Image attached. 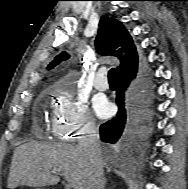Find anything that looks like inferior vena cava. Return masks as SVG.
Returning <instances> with one entry per match:
<instances>
[{"mask_svg":"<svg viewBox=\"0 0 188 189\" xmlns=\"http://www.w3.org/2000/svg\"><path fill=\"white\" fill-rule=\"evenodd\" d=\"M78 149L88 158L90 170L85 189H102L103 160L98 130L93 122H87L81 129Z\"/></svg>","mask_w":188,"mask_h":189,"instance_id":"obj_1","label":"inferior vena cava"}]
</instances>
